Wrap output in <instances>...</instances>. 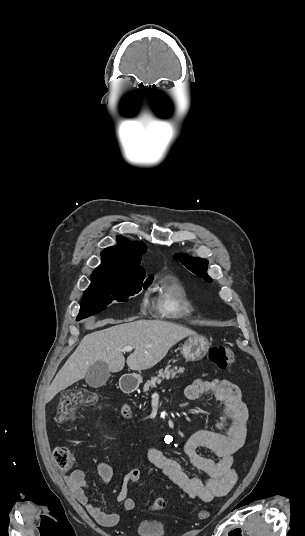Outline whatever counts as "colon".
Here are the masks:
<instances>
[{"mask_svg":"<svg viewBox=\"0 0 305 536\" xmlns=\"http://www.w3.org/2000/svg\"><path fill=\"white\" fill-rule=\"evenodd\" d=\"M209 360L220 368H226L234 361L233 350L227 345L214 346L209 351ZM97 402L98 395L96 392L80 389L68 390L62 394L59 400L56 419L59 423L68 422L74 418L75 411L79 406H91ZM53 459L61 471H76L77 469V462L72 460L73 454L66 445H57L54 448ZM137 474L136 469L130 471V475L126 480L128 486L133 487L142 480V477ZM165 507L166 503L161 499L154 501L152 504L153 510L156 511H161ZM209 516L210 512L206 510H201L197 513V517L201 520L207 519Z\"/></svg>","mask_w":305,"mask_h":536,"instance_id":"5ec220e1","label":"colon"}]
</instances>
